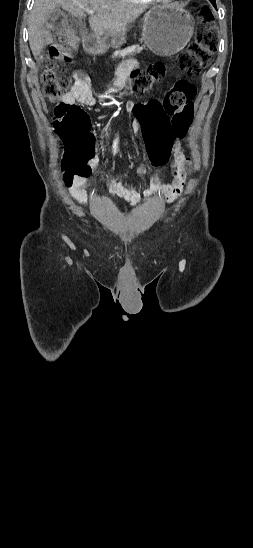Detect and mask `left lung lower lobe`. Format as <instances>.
Instances as JSON below:
<instances>
[{"label":"left lung lower lobe","mask_w":253,"mask_h":548,"mask_svg":"<svg viewBox=\"0 0 253 548\" xmlns=\"http://www.w3.org/2000/svg\"><path fill=\"white\" fill-rule=\"evenodd\" d=\"M210 2L214 5V7H216V1L215 0H210Z\"/></svg>","instance_id":"1"}]
</instances>
